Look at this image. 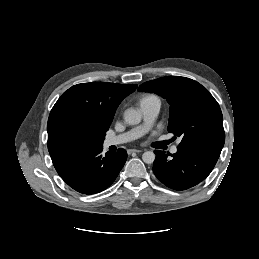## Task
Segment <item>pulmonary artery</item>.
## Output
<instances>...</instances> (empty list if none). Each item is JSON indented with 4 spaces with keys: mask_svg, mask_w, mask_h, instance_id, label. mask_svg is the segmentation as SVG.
Segmentation results:
<instances>
[{
    "mask_svg": "<svg viewBox=\"0 0 259 259\" xmlns=\"http://www.w3.org/2000/svg\"><path fill=\"white\" fill-rule=\"evenodd\" d=\"M139 107L144 118L143 124L126 133L106 138L104 141V146L109 147L135 140L144 135L151 128L160 111V100L155 96L142 99L139 103ZM177 150V145L171 147L172 153H176Z\"/></svg>",
    "mask_w": 259,
    "mask_h": 259,
    "instance_id": "e3ab8cb5",
    "label": "pulmonary artery"
}]
</instances>
